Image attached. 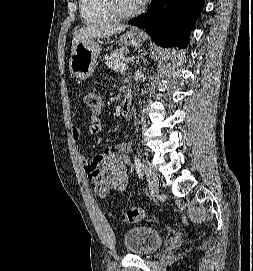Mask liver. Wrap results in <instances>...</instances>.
Here are the masks:
<instances>
[{
    "label": "liver",
    "mask_w": 253,
    "mask_h": 271,
    "mask_svg": "<svg viewBox=\"0 0 253 271\" xmlns=\"http://www.w3.org/2000/svg\"><path fill=\"white\" fill-rule=\"evenodd\" d=\"M123 24H101V25H88L87 27L80 28L74 33L72 40V51L75 46L83 41L93 38H105L111 35L121 33L126 29Z\"/></svg>",
    "instance_id": "liver-1"
}]
</instances>
